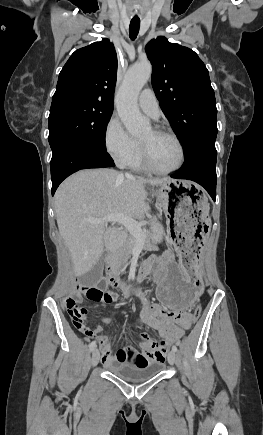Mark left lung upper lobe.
<instances>
[{"mask_svg": "<svg viewBox=\"0 0 263 435\" xmlns=\"http://www.w3.org/2000/svg\"><path fill=\"white\" fill-rule=\"evenodd\" d=\"M145 52L153 66V89L184 154L199 143L215 141L216 100L208 70L198 55L162 36L151 40Z\"/></svg>", "mask_w": 263, "mask_h": 435, "instance_id": "1", "label": "left lung upper lobe"}]
</instances>
